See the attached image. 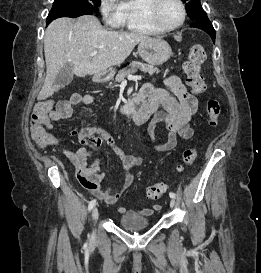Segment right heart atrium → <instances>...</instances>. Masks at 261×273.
Here are the masks:
<instances>
[{"label": "right heart atrium", "mask_w": 261, "mask_h": 273, "mask_svg": "<svg viewBox=\"0 0 261 273\" xmlns=\"http://www.w3.org/2000/svg\"><path fill=\"white\" fill-rule=\"evenodd\" d=\"M99 7L104 20L111 25H117L119 0H100Z\"/></svg>", "instance_id": "obj_1"}]
</instances>
